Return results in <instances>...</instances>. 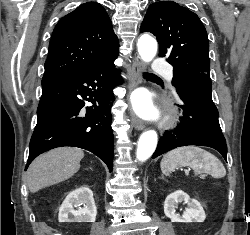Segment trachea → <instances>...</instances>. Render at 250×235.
I'll return each instance as SVG.
<instances>
[{
  "mask_svg": "<svg viewBox=\"0 0 250 235\" xmlns=\"http://www.w3.org/2000/svg\"><path fill=\"white\" fill-rule=\"evenodd\" d=\"M143 75H144L145 77H157L155 74L148 73V72H145Z\"/></svg>",
  "mask_w": 250,
  "mask_h": 235,
  "instance_id": "3493384b",
  "label": "trachea"
}]
</instances>
